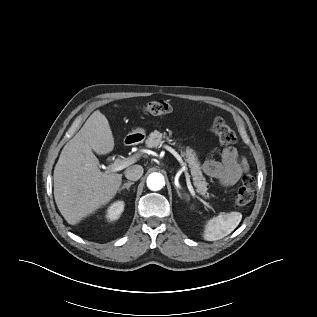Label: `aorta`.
<instances>
[{
  "label": "aorta",
  "mask_w": 317,
  "mask_h": 317,
  "mask_svg": "<svg viewBox=\"0 0 317 317\" xmlns=\"http://www.w3.org/2000/svg\"><path fill=\"white\" fill-rule=\"evenodd\" d=\"M165 186L164 176L154 172L147 177V187L152 191L161 190Z\"/></svg>",
  "instance_id": "obj_1"
}]
</instances>
